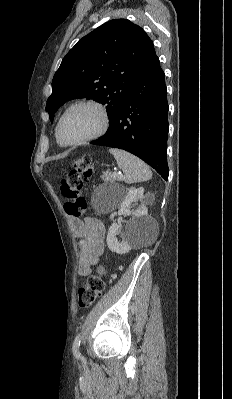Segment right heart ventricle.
<instances>
[{
	"instance_id": "right-heart-ventricle-1",
	"label": "right heart ventricle",
	"mask_w": 232,
	"mask_h": 399,
	"mask_svg": "<svg viewBox=\"0 0 232 399\" xmlns=\"http://www.w3.org/2000/svg\"><path fill=\"white\" fill-rule=\"evenodd\" d=\"M55 136H56V142H57V144H58L59 146H61V147H66V146H67L66 144H64V143L60 140V138H59V136H58V134H57V131L55 132Z\"/></svg>"
}]
</instances>
